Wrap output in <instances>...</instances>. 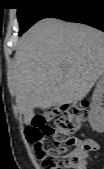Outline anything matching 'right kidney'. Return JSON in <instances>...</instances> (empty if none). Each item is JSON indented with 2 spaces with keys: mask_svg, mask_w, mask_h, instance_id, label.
I'll use <instances>...</instances> for the list:
<instances>
[{
  "mask_svg": "<svg viewBox=\"0 0 104 169\" xmlns=\"http://www.w3.org/2000/svg\"><path fill=\"white\" fill-rule=\"evenodd\" d=\"M104 78H100L92 96L91 110L89 113V122L93 130L97 132L104 131Z\"/></svg>",
  "mask_w": 104,
  "mask_h": 169,
  "instance_id": "obj_1",
  "label": "right kidney"
}]
</instances>
